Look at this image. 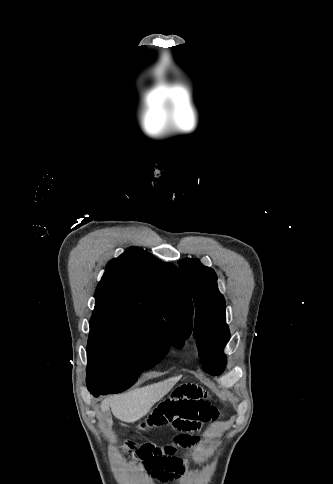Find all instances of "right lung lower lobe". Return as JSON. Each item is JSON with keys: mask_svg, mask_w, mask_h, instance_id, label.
Listing matches in <instances>:
<instances>
[{"mask_svg": "<svg viewBox=\"0 0 333 484\" xmlns=\"http://www.w3.org/2000/svg\"><path fill=\"white\" fill-rule=\"evenodd\" d=\"M88 390L90 391L91 394H93L94 396H99L100 394H104L103 391L99 390V389H91V388H88Z\"/></svg>", "mask_w": 333, "mask_h": 484, "instance_id": "right-lung-lower-lobe-1", "label": "right lung lower lobe"}]
</instances>
